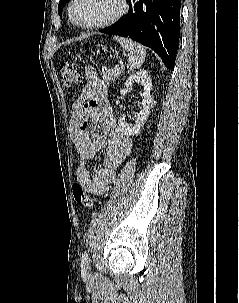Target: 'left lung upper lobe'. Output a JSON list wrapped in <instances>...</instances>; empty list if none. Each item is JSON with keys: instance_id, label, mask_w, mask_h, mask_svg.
<instances>
[{"instance_id": "5c2ea615", "label": "left lung upper lobe", "mask_w": 239, "mask_h": 303, "mask_svg": "<svg viewBox=\"0 0 239 303\" xmlns=\"http://www.w3.org/2000/svg\"><path fill=\"white\" fill-rule=\"evenodd\" d=\"M68 2V0H60L59 1V5H58V13L61 16L62 13V9L64 7V5Z\"/></svg>"}]
</instances>
